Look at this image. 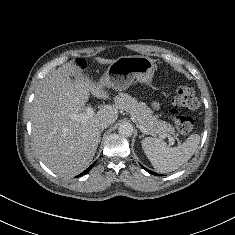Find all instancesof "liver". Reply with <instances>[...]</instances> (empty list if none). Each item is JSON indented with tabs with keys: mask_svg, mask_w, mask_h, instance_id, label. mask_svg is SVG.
<instances>
[{
	"mask_svg": "<svg viewBox=\"0 0 235 235\" xmlns=\"http://www.w3.org/2000/svg\"><path fill=\"white\" fill-rule=\"evenodd\" d=\"M96 60L100 64L114 61ZM90 92L98 99H109L105 87L87 78L72 63L48 74L37 86L31 109L34 145L42 162L60 176L82 172L96 153L98 124L103 120L114 123L118 118V108L105 105L86 120L71 119V115L85 112Z\"/></svg>",
	"mask_w": 235,
	"mask_h": 235,
	"instance_id": "liver-1",
	"label": "liver"
}]
</instances>
